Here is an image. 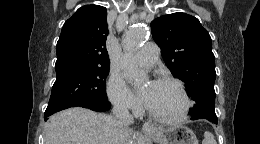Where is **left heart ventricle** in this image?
<instances>
[{
  "label": "left heart ventricle",
  "mask_w": 260,
  "mask_h": 144,
  "mask_svg": "<svg viewBox=\"0 0 260 144\" xmlns=\"http://www.w3.org/2000/svg\"><path fill=\"white\" fill-rule=\"evenodd\" d=\"M148 87H152V93L147 105L153 112L168 117L177 116L182 112L184 100L175 86L155 82Z\"/></svg>",
  "instance_id": "b2bd125f"
}]
</instances>
